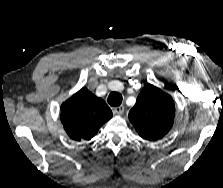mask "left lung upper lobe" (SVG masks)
Here are the masks:
<instances>
[{
    "label": "left lung upper lobe",
    "instance_id": "left-lung-upper-lobe-1",
    "mask_svg": "<svg viewBox=\"0 0 223 188\" xmlns=\"http://www.w3.org/2000/svg\"><path fill=\"white\" fill-rule=\"evenodd\" d=\"M174 113L172 97L161 89L146 84L129 112V120L142 138L154 141L170 131Z\"/></svg>",
    "mask_w": 223,
    "mask_h": 188
}]
</instances>
